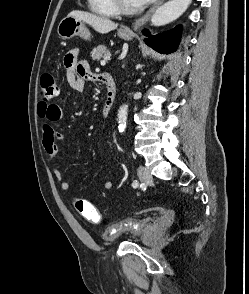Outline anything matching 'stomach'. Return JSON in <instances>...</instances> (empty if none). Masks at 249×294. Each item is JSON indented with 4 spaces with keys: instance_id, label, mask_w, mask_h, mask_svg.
<instances>
[{
    "instance_id": "0dacf381",
    "label": "stomach",
    "mask_w": 249,
    "mask_h": 294,
    "mask_svg": "<svg viewBox=\"0 0 249 294\" xmlns=\"http://www.w3.org/2000/svg\"><path fill=\"white\" fill-rule=\"evenodd\" d=\"M59 37L63 40H69L75 36H80L86 40L90 38V33L85 27L84 23L74 17H64L57 28ZM118 36L124 40H130L133 36L131 32L123 29L118 30Z\"/></svg>"
}]
</instances>
